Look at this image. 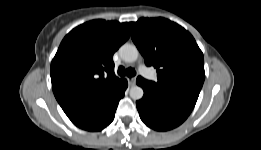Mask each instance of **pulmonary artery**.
Listing matches in <instances>:
<instances>
[{
  "instance_id": "pulmonary-artery-1",
  "label": "pulmonary artery",
  "mask_w": 261,
  "mask_h": 150,
  "mask_svg": "<svg viewBox=\"0 0 261 150\" xmlns=\"http://www.w3.org/2000/svg\"><path fill=\"white\" fill-rule=\"evenodd\" d=\"M140 72L145 76V77H147V78H149V79H151V78H153V75L150 73V71L146 68V67H144V66H141L140 67Z\"/></svg>"
}]
</instances>
